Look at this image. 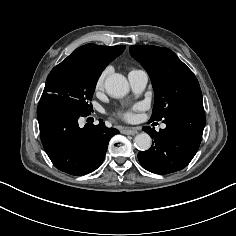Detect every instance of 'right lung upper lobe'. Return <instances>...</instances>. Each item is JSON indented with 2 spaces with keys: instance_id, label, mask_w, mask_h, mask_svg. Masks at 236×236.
<instances>
[{
  "instance_id": "1",
  "label": "right lung upper lobe",
  "mask_w": 236,
  "mask_h": 236,
  "mask_svg": "<svg viewBox=\"0 0 236 236\" xmlns=\"http://www.w3.org/2000/svg\"><path fill=\"white\" fill-rule=\"evenodd\" d=\"M125 49L124 45L106 47L96 44H86L76 49L67 58L86 64L108 65L114 58L118 57Z\"/></svg>"
}]
</instances>
